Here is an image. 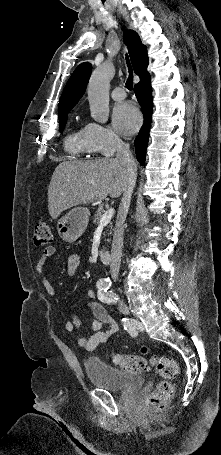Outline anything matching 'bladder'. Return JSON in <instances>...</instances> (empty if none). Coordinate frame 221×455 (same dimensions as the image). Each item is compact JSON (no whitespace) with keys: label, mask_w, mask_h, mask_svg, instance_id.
Returning a JSON list of instances; mask_svg holds the SVG:
<instances>
[{"label":"bladder","mask_w":221,"mask_h":455,"mask_svg":"<svg viewBox=\"0 0 221 455\" xmlns=\"http://www.w3.org/2000/svg\"><path fill=\"white\" fill-rule=\"evenodd\" d=\"M85 371L90 381L113 392H129L143 387L144 379L135 374L123 372L104 362L87 359Z\"/></svg>","instance_id":"1"}]
</instances>
